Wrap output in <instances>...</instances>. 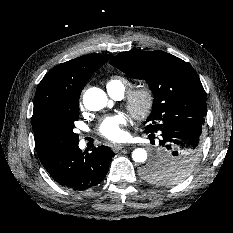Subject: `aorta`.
<instances>
[{"instance_id": "1", "label": "aorta", "mask_w": 233, "mask_h": 233, "mask_svg": "<svg viewBox=\"0 0 233 233\" xmlns=\"http://www.w3.org/2000/svg\"><path fill=\"white\" fill-rule=\"evenodd\" d=\"M83 104L90 111H99L106 106L111 107L112 102L100 88H89L83 96ZM167 156V153H165ZM132 158L137 163H144L147 160V152L143 148H137L132 153Z\"/></svg>"}]
</instances>
